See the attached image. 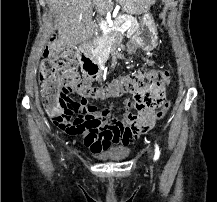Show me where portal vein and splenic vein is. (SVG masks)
Masks as SVG:
<instances>
[{"label": "portal vein and splenic vein", "instance_id": "1", "mask_svg": "<svg viewBox=\"0 0 217 202\" xmlns=\"http://www.w3.org/2000/svg\"><path fill=\"white\" fill-rule=\"evenodd\" d=\"M127 24H125L126 28H130L132 26L131 20H126Z\"/></svg>", "mask_w": 217, "mask_h": 202}]
</instances>
